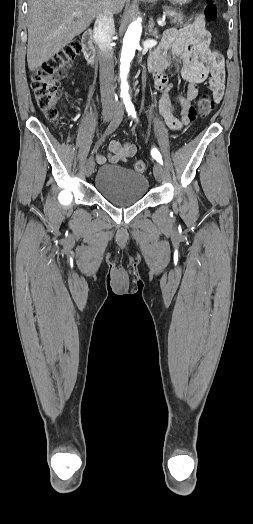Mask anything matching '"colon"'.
I'll return each instance as SVG.
<instances>
[{
	"mask_svg": "<svg viewBox=\"0 0 253 524\" xmlns=\"http://www.w3.org/2000/svg\"><path fill=\"white\" fill-rule=\"evenodd\" d=\"M204 17L207 21H214L217 17V8L212 0H206ZM81 42L74 40L61 49L56 55L42 64L31 77V87L34 92L37 104L43 111L45 117L57 123L59 112L57 103L61 97L60 77L65 73L68 65L79 55ZM77 93L82 91L80 86L75 88ZM211 111V99L208 93H203L199 98L198 113L206 116ZM134 169L138 172L146 170V163L137 160Z\"/></svg>",
	"mask_w": 253,
	"mask_h": 524,
	"instance_id": "colon-1",
	"label": "colon"
}]
</instances>
